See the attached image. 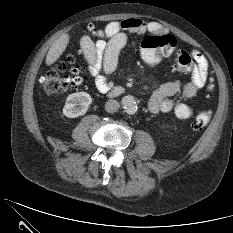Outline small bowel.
<instances>
[{
    "instance_id": "c3829d8e",
    "label": "small bowel",
    "mask_w": 233,
    "mask_h": 233,
    "mask_svg": "<svg viewBox=\"0 0 233 233\" xmlns=\"http://www.w3.org/2000/svg\"><path fill=\"white\" fill-rule=\"evenodd\" d=\"M87 30L98 38L96 42L89 36H83L80 47L88 62V70L95 87L101 93H107L112 88L108 77L117 68L118 57L127 43L129 35H142L146 32H160L162 26L158 22H145L139 18H129L108 23L104 27L89 24ZM193 70L187 81L174 80L158 87L151 95L148 109L152 113H174L179 119H188L193 109L183 102H177L173 97L177 94L184 99L192 98L207 82L208 61L205 56L192 50Z\"/></svg>"
}]
</instances>
